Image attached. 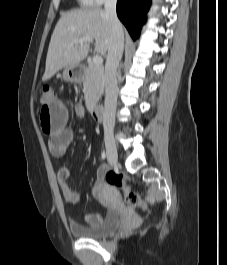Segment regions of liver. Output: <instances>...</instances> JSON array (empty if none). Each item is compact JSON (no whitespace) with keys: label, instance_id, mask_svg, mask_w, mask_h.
Instances as JSON below:
<instances>
[{"label":"liver","instance_id":"1","mask_svg":"<svg viewBox=\"0 0 227 265\" xmlns=\"http://www.w3.org/2000/svg\"><path fill=\"white\" fill-rule=\"evenodd\" d=\"M85 37L95 39V52L101 55L107 53L111 43V22L105 11L97 8L82 9L61 16L50 40L43 81L50 79L62 68L79 65L87 57L90 44L73 42Z\"/></svg>","mask_w":227,"mask_h":265}]
</instances>
